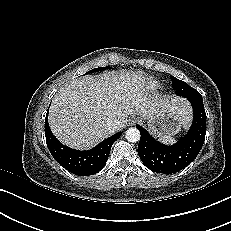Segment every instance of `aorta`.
I'll list each match as a JSON object with an SVG mask.
<instances>
[{
	"mask_svg": "<svg viewBox=\"0 0 231 231\" xmlns=\"http://www.w3.org/2000/svg\"><path fill=\"white\" fill-rule=\"evenodd\" d=\"M128 142L134 143L140 140V131L137 128H129L125 135Z\"/></svg>",
	"mask_w": 231,
	"mask_h": 231,
	"instance_id": "1",
	"label": "aorta"
}]
</instances>
